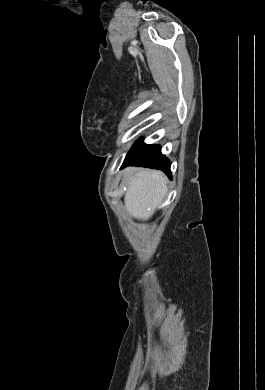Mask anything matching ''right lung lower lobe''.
Wrapping results in <instances>:
<instances>
[{
  "label": "right lung lower lobe",
  "mask_w": 265,
  "mask_h": 390,
  "mask_svg": "<svg viewBox=\"0 0 265 390\" xmlns=\"http://www.w3.org/2000/svg\"><path fill=\"white\" fill-rule=\"evenodd\" d=\"M134 165L148 168L161 169L170 179V161L161 153L160 146L146 145L142 141H137L127 154L122 168Z\"/></svg>",
  "instance_id": "98d812e1"
}]
</instances>
